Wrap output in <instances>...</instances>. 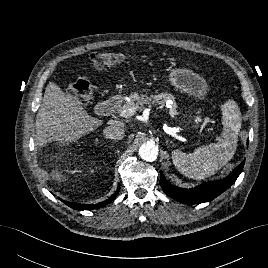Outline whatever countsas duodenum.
<instances>
[{"label": "duodenum", "instance_id": "duodenum-1", "mask_svg": "<svg viewBox=\"0 0 268 268\" xmlns=\"http://www.w3.org/2000/svg\"><path fill=\"white\" fill-rule=\"evenodd\" d=\"M119 105V98L117 96H110L97 106V111L100 115L108 116L112 114Z\"/></svg>", "mask_w": 268, "mask_h": 268}]
</instances>
